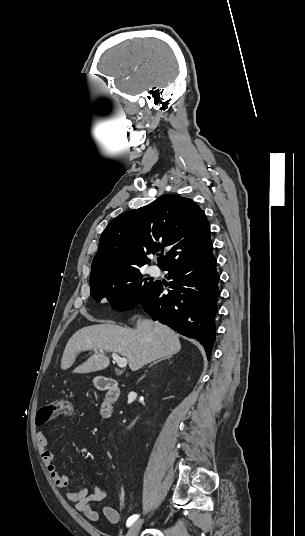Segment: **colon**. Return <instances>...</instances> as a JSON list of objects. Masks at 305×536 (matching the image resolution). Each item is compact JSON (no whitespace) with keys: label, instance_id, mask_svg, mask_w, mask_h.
<instances>
[{"label":"colon","instance_id":"1","mask_svg":"<svg viewBox=\"0 0 305 536\" xmlns=\"http://www.w3.org/2000/svg\"><path fill=\"white\" fill-rule=\"evenodd\" d=\"M72 404L63 399H59L50 405H47L42 411H38L35 424L39 427L44 426L47 422H53L54 416L69 415L72 412Z\"/></svg>","mask_w":305,"mask_h":536}]
</instances>
